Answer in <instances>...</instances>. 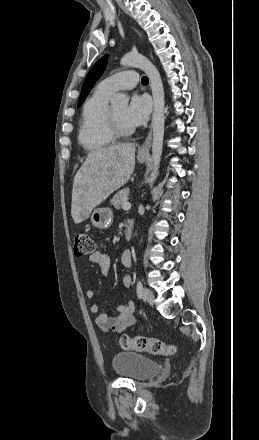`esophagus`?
Listing matches in <instances>:
<instances>
[{
    "label": "esophagus",
    "instance_id": "obj_1",
    "mask_svg": "<svg viewBox=\"0 0 259 440\" xmlns=\"http://www.w3.org/2000/svg\"><path fill=\"white\" fill-rule=\"evenodd\" d=\"M151 141H152V132L151 129L145 139V141L143 142V144L141 145V147L139 148V154L141 155H146L149 153L150 147H151Z\"/></svg>",
    "mask_w": 259,
    "mask_h": 440
}]
</instances>
